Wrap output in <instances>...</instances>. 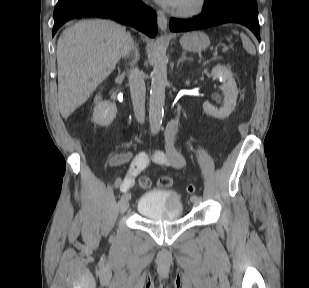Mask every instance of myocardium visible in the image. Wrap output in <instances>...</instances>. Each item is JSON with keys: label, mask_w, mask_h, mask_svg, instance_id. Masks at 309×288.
I'll list each match as a JSON object with an SVG mask.
<instances>
[{"label": "myocardium", "mask_w": 309, "mask_h": 288, "mask_svg": "<svg viewBox=\"0 0 309 288\" xmlns=\"http://www.w3.org/2000/svg\"><path fill=\"white\" fill-rule=\"evenodd\" d=\"M207 0H194L188 7L176 8L174 14L181 17H193L201 14L206 7Z\"/></svg>", "instance_id": "1"}]
</instances>
